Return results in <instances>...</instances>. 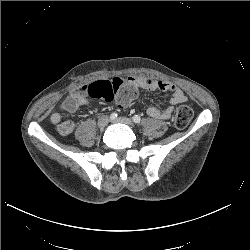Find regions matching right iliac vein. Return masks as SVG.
<instances>
[{
	"mask_svg": "<svg viewBox=\"0 0 250 250\" xmlns=\"http://www.w3.org/2000/svg\"><path fill=\"white\" fill-rule=\"evenodd\" d=\"M108 117L106 115H102L99 117L97 121V127L103 129L108 124Z\"/></svg>",
	"mask_w": 250,
	"mask_h": 250,
	"instance_id": "obj_1",
	"label": "right iliac vein"
}]
</instances>
